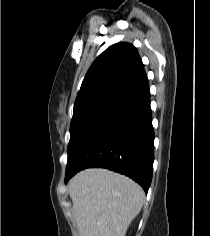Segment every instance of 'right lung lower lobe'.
<instances>
[{"instance_id": "98d812e1", "label": "right lung lower lobe", "mask_w": 210, "mask_h": 236, "mask_svg": "<svg viewBox=\"0 0 210 236\" xmlns=\"http://www.w3.org/2000/svg\"><path fill=\"white\" fill-rule=\"evenodd\" d=\"M154 161L148 81L132 90L83 139L67 163L65 182L88 167L129 176L147 193Z\"/></svg>"}]
</instances>
